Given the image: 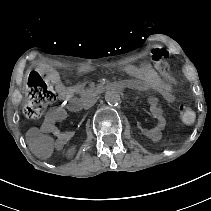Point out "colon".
Returning <instances> with one entry per match:
<instances>
[{"instance_id": "colon-1", "label": "colon", "mask_w": 211, "mask_h": 211, "mask_svg": "<svg viewBox=\"0 0 211 211\" xmlns=\"http://www.w3.org/2000/svg\"><path fill=\"white\" fill-rule=\"evenodd\" d=\"M160 72L163 76L168 77L165 70L162 69ZM55 100L56 93L50 80L36 71L31 72L28 77L26 103L24 106L26 117L30 119L40 117ZM179 116L185 124L193 123L196 117L195 112L191 108L183 105L179 107Z\"/></svg>"}]
</instances>
